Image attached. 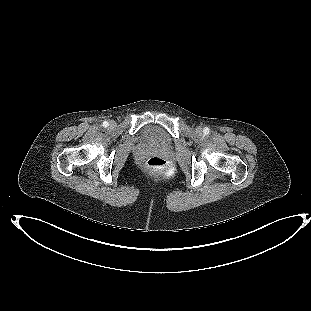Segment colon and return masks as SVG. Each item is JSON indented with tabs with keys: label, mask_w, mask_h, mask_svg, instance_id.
<instances>
[{
	"label": "colon",
	"mask_w": 311,
	"mask_h": 311,
	"mask_svg": "<svg viewBox=\"0 0 311 311\" xmlns=\"http://www.w3.org/2000/svg\"><path fill=\"white\" fill-rule=\"evenodd\" d=\"M147 169L153 173L165 174L169 170V164L164 158L153 156L147 161Z\"/></svg>",
	"instance_id": "obj_1"
}]
</instances>
